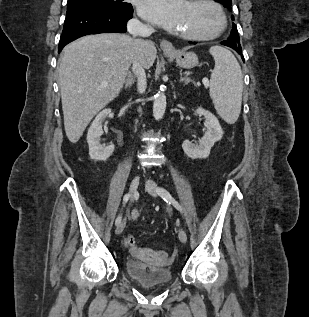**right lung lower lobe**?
Wrapping results in <instances>:
<instances>
[{
  "label": "right lung lower lobe",
  "instance_id": "1",
  "mask_svg": "<svg viewBox=\"0 0 309 317\" xmlns=\"http://www.w3.org/2000/svg\"><path fill=\"white\" fill-rule=\"evenodd\" d=\"M132 12L111 9L68 6L58 52L75 39L105 32H126V23L132 18Z\"/></svg>",
  "mask_w": 309,
  "mask_h": 317
}]
</instances>
